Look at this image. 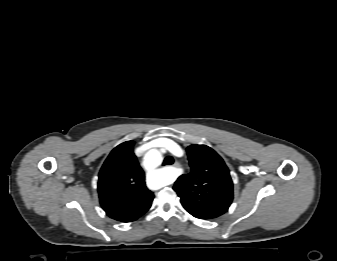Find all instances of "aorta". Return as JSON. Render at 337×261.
I'll return each mask as SVG.
<instances>
[{
    "label": "aorta",
    "instance_id": "obj_1",
    "mask_svg": "<svg viewBox=\"0 0 337 261\" xmlns=\"http://www.w3.org/2000/svg\"><path fill=\"white\" fill-rule=\"evenodd\" d=\"M144 163L151 174L160 180V186H166L173 182L174 171L172 168L156 169L162 163V155L159 150L152 149L146 153Z\"/></svg>",
    "mask_w": 337,
    "mask_h": 261
}]
</instances>
